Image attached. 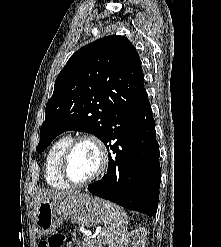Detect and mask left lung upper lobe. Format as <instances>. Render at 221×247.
<instances>
[{
	"mask_svg": "<svg viewBox=\"0 0 221 247\" xmlns=\"http://www.w3.org/2000/svg\"><path fill=\"white\" fill-rule=\"evenodd\" d=\"M140 57L125 37L110 35L76 51L56 78L37 152L59 134L82 131L104 142L110 121L148 101Z\"/></svg>",
	"mask_w": 221,
	"mask_h": 247,
	"instance_id": "left-lung-upper-lobe-1",
	"label": "left lung upper lobe"
}]
</instances>
